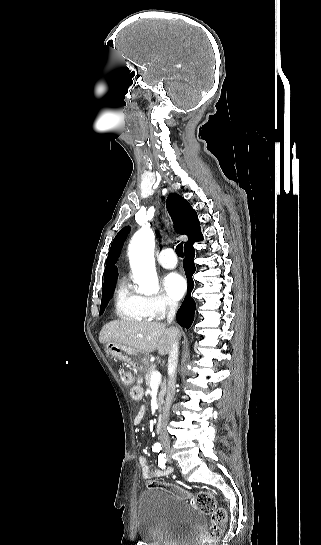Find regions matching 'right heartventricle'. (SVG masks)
Listing matches in <instances>:
<instances>
[{
	"label": "right heart ventricle",
	"mask_w": 321,
	"mask_h": 545,
	"mask_svg": "<svg viewBox=\"0 0 321 545\" xmlns=\"http://www.w3.org/2000/svg\"><path fill=\"white\" fill-rule=\"evenodd\" d=\"M114 311L119 319L126 322L142 323L149 321L141 305V299L123 282L119 284L115 292Z\"/></svg>",
	"instance_id": "right-heart-ventricle-1"
}]
</instances>
